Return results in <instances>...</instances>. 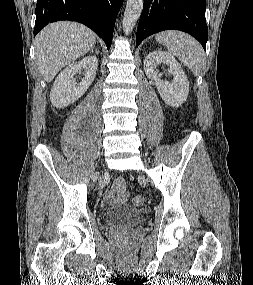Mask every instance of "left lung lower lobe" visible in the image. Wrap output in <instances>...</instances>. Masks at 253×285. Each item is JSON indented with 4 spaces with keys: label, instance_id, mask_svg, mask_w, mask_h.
<instances>
[{
    "label": "left lung lower lobe",
    "instance_id": "obj_1",
    "mask_svg": "<svg viewBox=\"0 0 253 285\" xmlns=\"http://www.w3.org/2000/svg\"><path fill=\"white\" fill-rule=\"evenodd\" d=\"M205 10L206 0H144L136 46L151 34L175 29L192 35L206 50L208 28Z\"/></svg>",
    "mask_w": 253,
    "mask_h": 285
}]
</instances>
